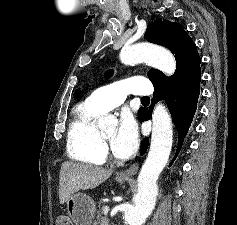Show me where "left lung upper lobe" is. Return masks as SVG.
<instances>
[{
    "instance_id": "1",
    "label": "left lung upper lobe",
    "mask_w": 237,
    "mask_h": 225,
    "mask_svg": "<svg viewBox=\"0 0 237 225\" xmlns=\"http://www.w3.org/2000/svg\"><path fill=\"white\" fill-rule=\"evenodd\" d=\"M145 37L149 42L167 47L175 54L177 64L176 71L171 77H166L156 69L149 70L147 75L155 88L181 83L201 75V60L196 45L178 23L157 19L148 24Z\"/></svg>"
}]
</instances>
